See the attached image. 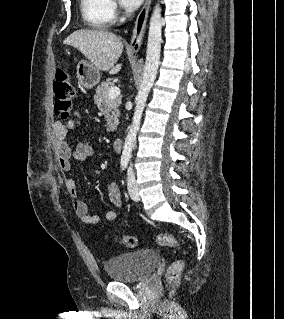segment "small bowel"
<instances>
[{
    "label": "small bowel",
    "instance_id": "c3829d8e",
    "mask_svg": "<svg viewBox=\"0 0 284 319\" xmlns=\"http://www.w3.org/2000/svg\"><path fill=\"white\" fill-rule=\"evenodd\" d=\"M83 120L79 114H75L73 119L68 121H56L53 124V137L55 152L57 155L58 166L61 171L68 173L72 170V160L85 161L93 155V149L88 143H80L73 150L68 141L67 136L71 129L80 126ZM66 190L70 196L77 198L78 190L76 182L71 177L64 180ZM108 197L114 208L121 206V192L118 184L110 183L107 188ZM73 210L77 217L86 224L95 225L101 220L99 215L90 214L87 204L81 199H75L73 202ZM104 218L106 221L112 222L117 218L115 209L108 210Z\"/></svg>",
    "mask_w": 284,
    "mask_h": 319
}]
</instances>
